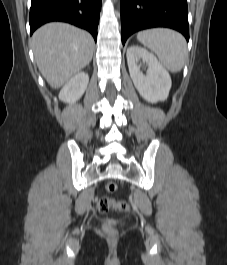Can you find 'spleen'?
I'll return each instance as SVG.
<instances>
[{"instance_id": "1", "label": "spleen", "mask_w": 227, "mask_h": 265, "mask_svg": "<svg viewBox=\"0 0 227 265\" xmlns=\"http://www.w3.org/2000/svg\"><path fill=\"white\" fill-rule=\"evenodd\" d=\"M137 39L156 53L161 63L171 72H179L188 57L185 38L177 31L154 28L140 31Z\"/></svg>"}]
</instances>
